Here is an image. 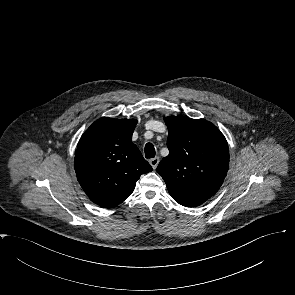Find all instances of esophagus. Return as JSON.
Listing matches in <instances>:
<instances>
[{
    "instance_id": "obj_1",
    "label": "esophagus",
    "mask_w": 295,
    "mask_h": 295,
    "mask_svg": "<svg viewBox=\"0 0 295 295\" xmlns=\"http://www.w3.org/2000/svg\"><path fill=\"white\" fill-rule=\"evenodd\" d=\"M159 157H155L149 160L150 165L152 166L153 169H156V167L159 164Z\"/></svg>"
}]
</instances>
